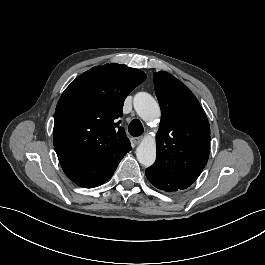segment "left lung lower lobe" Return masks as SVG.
I'll return each mask as SVG.
<instances>
[{"label": "left lung lower lobe", "instance_id": "1", "mask_svg": "<svg viewBox=\"0 0 265 265\" xmlns=\"http://www.w3.org/2000/svg\"><path fill=\"white\" fill-rule=\"evenodd\" d=\"M146 176H147V179L150 181V183L160 190H163L165 192H176V191L180 190L177 187L167 183L163 179L152 174L148 170H146Z\"/></svg>", "mask_w": 265, "mask_h": 265}]
</instances>
